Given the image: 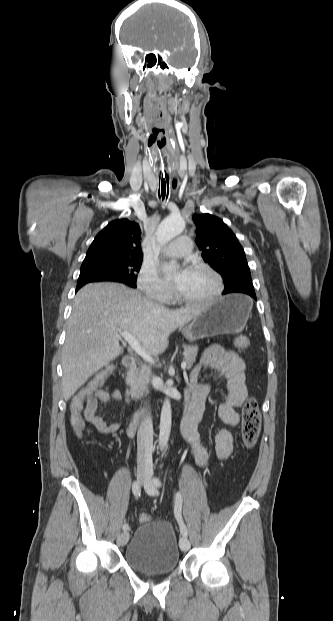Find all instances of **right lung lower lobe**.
Listing matches in <instances>:
<instances>
[{"label":"right lung lower lobe","mask_w":333,"mask_h":621,"mask_svg":"<svg viewBox=\"0 0 333 621\" xmlns=\"http://www.w3.org/2000/svg\"><path fill=\"white\" fill-rule=\"evenodd\" d=\"M83 285H85V284L77 283L76 291H78Z\"/></svg>","instance_id":"right-lung-lower-lobe-1"}]
</instances>
